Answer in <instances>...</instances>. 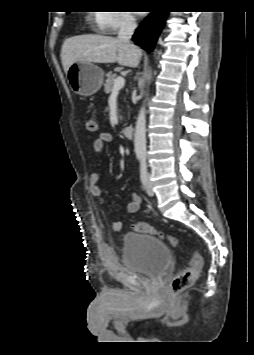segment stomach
Listing matches in <instances>:
<instances>
[{
    "instance_id": "obj_1",
    "label": "stomach",
    "mask_w": 254,
    "mask_h": 355,
    "mask_svg": "<svg viewBox=\"0 0 254 355\" xmlns=\"http://www.w3.org/2000/svg\"><path fill=\"white\" fill-rule=\"evenodd\" d=\"M68 83L71 90L81 96L95 94L103 83V70L90 62H75L67 71Z\"/></svg>"
}]
</instances>
